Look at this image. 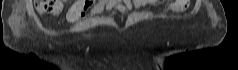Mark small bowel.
I'll return each mask as SVG.
<instances>
[{
	"label": "small bowel",
	"instance_id": "small-bowel-1",
	"mask_svg": "<svg viewBox=\"0 0 238 70\" xmlns=\"http://www.w3.org/2000/svg\"><path fill=\"white\" fill-rule=\"evenodd\" d=\"M151 3H153L151 0H98L95 3L87 0H78L69 9L67 19L75 23L85 16L87 10L90 11L91 15L101 14L104 10H107L111 14L124 13ZM180 7L181 5L178 1L170 5L171 10H178Z\"/></svg>",
	"mask_w": 238,
	"mask_h": 70
}]
</instances>
